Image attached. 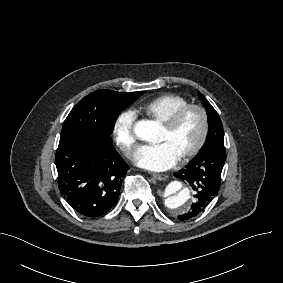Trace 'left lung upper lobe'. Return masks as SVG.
<instances>
[{"label": "left lung upper lobe", "instance_id": "1", "mask_svg": "<svg viewBox=\"0 0 283 283\" xmlns=\"http://www.w3.org/2000/svg\"><path fill=\"white\" fill-rule=\"evenodd\" d=\"M198 96L206 107L208 121H209V133L204 145L208 143H216V142L224 143L223 126L218 113L215 111L212 105L209 104L207 99L200 92H198Z\"/></svg>", "mask_w": 283, "mask_h": 283}]
</instances>
